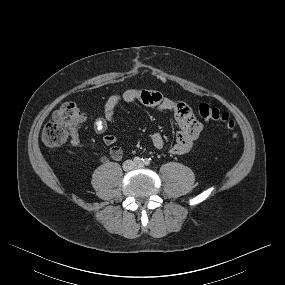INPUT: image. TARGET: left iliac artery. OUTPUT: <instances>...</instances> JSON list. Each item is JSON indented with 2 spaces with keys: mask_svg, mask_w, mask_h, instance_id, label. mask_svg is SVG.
I'll return each mask as SVG.
<instances>
[{
  "mask_svg": "<svg viewBox=\"0 0 285 285\" xmlns=\"http://www.w3.org/2000/svg\"><path fill=\"white\" fill-rule=\"evenodd\" d=\"M150 162H151V158H145V159H143V163H144L145 165H149Z\"/></svg>",
  "mask_w": 285,
  "mask_h": 285,
  "instance_id": "left-iliac-artery-1",
  "label": "left iliac artery"
}]
</instances>
